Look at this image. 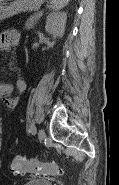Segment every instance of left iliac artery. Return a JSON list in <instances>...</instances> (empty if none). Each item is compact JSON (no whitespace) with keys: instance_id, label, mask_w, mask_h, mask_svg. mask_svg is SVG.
Masks as SVG:
<instances>
[{"instance_id":"1","label":"left iliac artery","mask_w":119,"mask_h":185,"mask_svg":"<svg viewBox=\"0 0 119 185\" xmlns=\"http://www.w3.org/2000/svg\"><path fill=\"white\" fill-rule=\"evenodd\" d=\"M29 131H30L32 134H36L37 129H36V126H35L34 123L31 124Z\"/></svg>"}]
</instances>
